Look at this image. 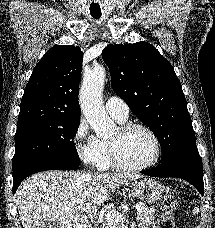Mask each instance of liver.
<instances>
[{
  "label": "liver",
  "mask_w": 215,
  "mask_h": 228,
  "mask_svg": "<svg viewBox=\"0 0 215 228\" xmlns=\"http://www.w3.org/2000/svg\"><path fill=\"white\" fill-rule=\"evenodd\" d=\"M138 174L39 172L20 184L15 196L23 228H92L84 206L111 202L110 188L138 180ZM47 224V226H46Z\"/></svg>",
  "instance_id": "liver-1"
}]
</instances>
